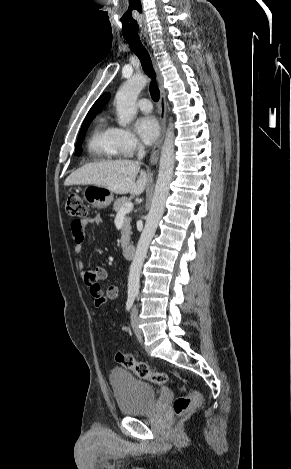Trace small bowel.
I'll use <instances>...</instances> for the list:
<instances>
[{"label":"small bowel","instance_id":"c3829d8e","mask_svg":"<svg viewBox=\"0 0 291 469\" xmlns=\"http://www.w3.org/2000/svg\"><path fill=\"white\" fill-rule=\"evenodd\" d=\"M101 222V217L95 216L92 218L82 219V220H73L71 222V233L74 244V251L76 254L80 255L82 252V245L85 239L86 227L89 224H99ZM79 269H83L84 264L82 261L77 263ZM107 277V271L103 267H97L89 272L84 274V279L89 287L92 297L99 296L103 294L99 281L104 280ZM104 295V294H103ZM119 295V289L116 286H110L107 289L105 300L111 299L114 300Z\"/></svg>","mask_w":291,"mask_h":469}]
</instances>
